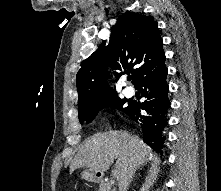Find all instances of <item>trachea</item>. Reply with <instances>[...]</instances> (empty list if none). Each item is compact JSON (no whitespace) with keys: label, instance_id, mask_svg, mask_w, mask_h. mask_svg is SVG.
<instances>
[{"label":"trachea","instance_id":"1","mask_svg":"<svg viewBox=\"0 0 221 191\" xmlns=\"http://www.w3.org/2000/svg\"><path fill=\"white\" fill-rule=\"evenodd\" d=\"M128 79H129V80H131V79H132V77L130 76Z\"/></svg>","mask_w":221,"mask_h":191}]
</instances>
